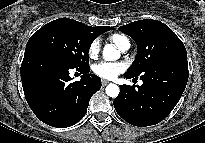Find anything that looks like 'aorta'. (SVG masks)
Returning <instances> with one entry per match:
<instances>
[{"label": "aorta", "mask_w": 205, "mask_h": 143, "mask_svg": "<svg viewBox=\"0 0 205 143\" xmlns=\"http://www.w3.org/2000/svg\"><path fill=\"white\" fill-rule=\"evenodd\" d=\"M102 55L106 61L117 60L120 57L119 51L116 49V47L113 44H107L103 49ZM105 91L109 97L115 98L118 96L120 90L116 84L111 83L107 85Z\"/></svg>", "instance_id": "aorta-1"}]
</instances>
